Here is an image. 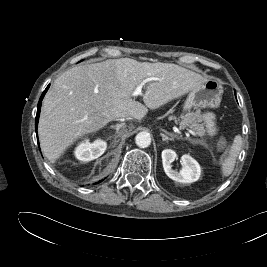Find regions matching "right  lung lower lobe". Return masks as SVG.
I'll use <instances>...</instances> for the list:
<instances>
[{"mask_svg":"<svg viewBox=\"0 0 267 267\" xmlns=\"http://www.w3.org/2000/svg\"><path fill=\"white\" fill-rule=\"evenodd\" d=\"M49 88V85L47 86V88L44 90L43 94L41 95L40 97V100H39V103H38V107H37V115H36V122H35V125H36V130H37V124H38V119H39V114H40V108H41V101L45 95V93L47 92ZM37 132V131H36Z\"/></svg>","mask_w":267,"mask_h":267,"instance_id":"98d812e1","label":"right lung lower lobe"}]
</instances>
